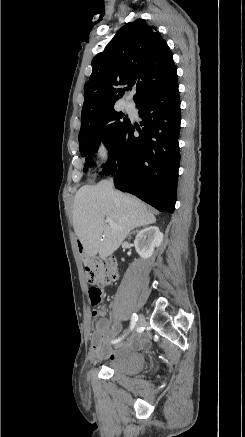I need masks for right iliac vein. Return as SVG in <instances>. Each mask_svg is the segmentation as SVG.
Masks as SVG:
<instances>
[{
  "mask_svg": "<svg viewBox=\"0 0 245 437\" xmlns=\"http://www.w3.org/2000/svg\"><path fill=\"white\" fill-rule=\"evenodd\" d=\"M144 322H145V318H144V316H143L142 314H140V315L138 316V320H137L136 326L139 327V326H141Z\"/></svg>",
  "mask_w": 245,
  "mask_h": 437,
  "instance_id": "obj_1",
  "label": "right iliac vein"
}]
</instances>
